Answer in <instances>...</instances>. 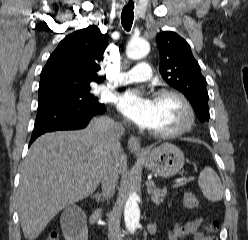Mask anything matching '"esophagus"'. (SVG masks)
Returning a JSON list of instances; mask_svg holds the SVG:
<instances>
[{
    "label": "esophagus",
    "mask_w": 248,
    "mask_h": 240,
    "mask_svg": "<svg viewBox=\"0 0 248 240\" xmlns=\"http://www.w3.org/2000/svg\"><path fill=\"white\" fill-rule=\"evenodd\" d=\"M128 148L132 153L143 154L144 149L141 146V141L138 137L131 136L128 140Z\"/></svg>",
    "instance_id": "esophagus-1"
}]
</instances>
